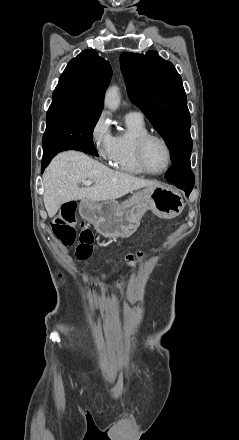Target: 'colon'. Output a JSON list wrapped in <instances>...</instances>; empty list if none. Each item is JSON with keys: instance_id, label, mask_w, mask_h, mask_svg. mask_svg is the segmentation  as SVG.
I'll return each mask as SVG.
<instances>
[{"instance_id": "colon-1", "label": "colon", "mask_w": 239, "mask_h": 440, "mask_svg": "<svg viewBox=\"0 0 239 440\" xmlns=\"http://www.w3.org/2000/svg\"><path fill=\"white\" fill-rule=\"evenodd\" d=\"M77 220V208L74 202L62 206L61 211L51 221L50 226L53 234L63 245H71L78 240L76 258L79 261L87 260L93 252L94 235L90 229L81 225L79 231L75 229ZM143 259L142 253H133L126 256V263L129 267L135 266ZM113 265V260H108Z\"/></svg>"}]
</instances>
